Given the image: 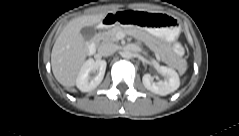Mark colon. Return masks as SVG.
<instances>
[{"mask_svg": "<svg viewBox=\"0 0 239 136\" xmlns=\"http://www.w3.org/2000/svg\"><path fill=\"white\" fill-rule=\"evenodd\" d=\"M115 17H116V19H117V15H114ZM177 50H178V47H177Z\"/></svg>", "mask_w": 239, "mask_h": 136, "instance_id": "1", "label": "colon"}]
</instances>
